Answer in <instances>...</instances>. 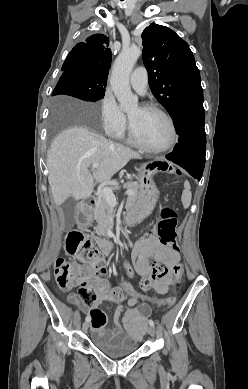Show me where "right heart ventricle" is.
Masks as SVG:
<instances>
[{"mask_svg":"<svg viewBox=\"0 0 248 389\" xmlns=\"http://www.w3.org/2000/svg\"><path fill=\"white\" fill-rule=\"evenodd\" d=\"M123 136H124V133L121 134L119 137H123ZM127 142L130 143V144L132 143L131 140H130L129 138H127Z\"/></svg>","mask_w":248,"mask_h":389,"instance_id":"right-heart-ventricle-1","label":"right heart ventricle"}]
</instances>
